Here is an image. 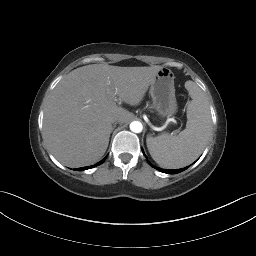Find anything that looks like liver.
Masks as SVG:
<instances>
[{
	"instance_id": "liver-1",
	"label": "liver",
	"mask_w": 256,
	"mask_h": 256,
	"mask_svg": "<svg viewBox=\"0 0 256 256\" xmlns=\"http://www.w3.org/2000/svg\"><path fill=\"white\" fill-rule=\"evenodd\" d=\"M161 66L92 64L74 69L54 88L44 110L43 133L52 154L67 167L97 162L106 152L112 117L132 114L116 104H140Z\"/></svg>"
}]
</instances>
